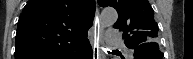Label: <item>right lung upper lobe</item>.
I'll use <instances>...</instances> for the list:
<instances>
[{
	"label": "right lung upper lobe",
	"mask_w": 193,
	"mask_h": 59,
	"mask_svg": "<svg viewBox=\"0 0 193 59\" xmlns=\"http://www.w3.org/2000/svg\"><path fill=\"white\" fill-rule=\"evenodd\" d=\"M95 0H30L19 18L15 59H64L88 41Z\"/></svg>",
	"instance_id": "1"
}]
</instances>
